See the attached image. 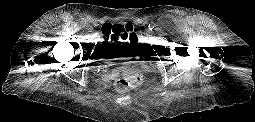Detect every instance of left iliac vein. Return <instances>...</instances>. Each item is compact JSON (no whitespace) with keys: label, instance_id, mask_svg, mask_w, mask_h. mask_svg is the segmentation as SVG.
<instances>
[{"label":"left iliac vein","instance_id":"left-iliac-vein-1","mask_svg":"<svg viewBox=\"0 0 255 122\" xmlns=\"http://www.w3.org/2000/svg\"><path fill=\"white\" fill-rule=\"evenodd\" d=\"M147 33H148L149 35H151V34L153 33V30H152V29H148V30H147Z\"/></svg>","mask_w":255,"mask_h":122}]
</instances>
